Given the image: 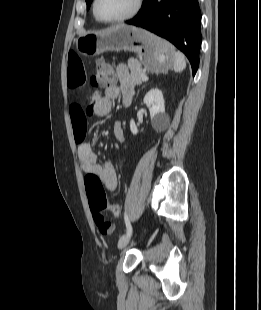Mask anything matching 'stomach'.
<instances>
[{"mask_svg": "<svg viewBox=\"0 0 261 310\" xmlns=\"http://www.w3.org/2000/svg\"><path fill=\"white\" fill-rule=\"evenodd\" d=\"M76 48L85 56L105 51H133L140 64L153 73L168 72L175 59V49L170 43L148 31L124 24L85 34L76 40Z\"/></svg>", "mask_w": 261, "mask_h": 310, "instance_id": "0dacf381", "label": "stomach"}]
</instances>
